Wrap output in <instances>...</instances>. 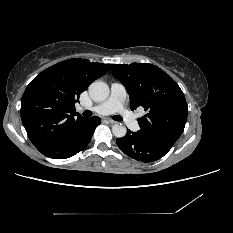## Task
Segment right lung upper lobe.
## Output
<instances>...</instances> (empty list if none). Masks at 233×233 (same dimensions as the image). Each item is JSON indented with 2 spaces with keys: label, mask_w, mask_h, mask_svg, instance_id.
<instances>
[{
  "label": "right lung upper lobe",
  "mask_w": 233,
  "mask_h": 233,
  "mask_svg": "<svg viewBox=\"0 0 233 233\" xmlns=\"http://www.w3.org/2000/svg\"><path fill=\"white\" fill-rule=\"evenodd\" d=\"M109 66L68 59L42 71L27 86L20 115L29 139L38 150L84 119L74 105L93 80L107 73Z\"/></svg>",
  "instance_id": "cb5924a9"
}]
</instances>
